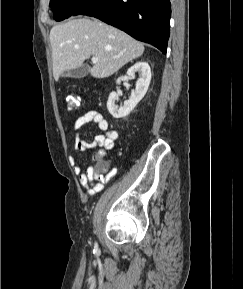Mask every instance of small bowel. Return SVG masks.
I'll list each match as a JSON object with an SVG mask.
<instances>
[{"label": "small bowel", "instance_id": "obj_1", "mask_svg": "<svg viewBox=\"0 0 243 289\" xmlns=\"http://www.w3.org/2000/svg\"><path fill=\"white\" fill-rule=\"evenodd\" d=\"M91 122L95 123L102 133L95 135L93 140L88 142L81 138L80 130ZM73 128L78 131L74 141V149L76 151L85 152L92 148H99L94 155L96 164L98 160L104 157L105 151L113 148L114 142L118 137L117 131L109 128V123L103 114L93 109L78 117L73 123ZM71 162L74 165L75 173L78 175L79 183L87 190L89 196L102 191L105 184L114 174L113 170L107 175L101 174L97 165L89 166L85 171H82L81 167L75 164L74 159H71Z\"/></svg>", "mask_w": 243, "mask_h": 289}]
</instances>
